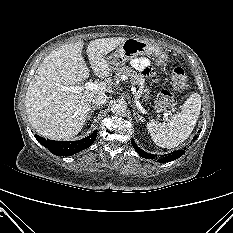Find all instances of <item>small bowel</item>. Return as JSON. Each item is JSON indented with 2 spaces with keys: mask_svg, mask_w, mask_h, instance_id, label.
<instances>
[{
  "mask_svg": "<svg viewBox=\"0 0 233 233\" xmlns=\"http://www.w3.org/2000/svg\"><path fill=\"white\" fill-rule=\"evenodd\" d=\"M134 69L142 72L144 75H153L155 70L151 67L150 61L145 57H138L131 61Z\"/></svg>",
  "mask_w": 233,
  "mask_h": 233,
  "instance_id": "1",
  "label": "small bowel"
}]
</instances>
